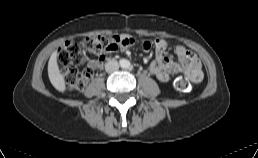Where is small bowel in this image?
I'll return each mask as SVG.
<instances>
[{"label": "small bowel", "mask_w": 258, "mask_h": 158, "mask_svg": "<svg viewBox=\"0 0 258 158\" xmlns=\"http://www.w3.org/2000/svg\"><path fill=\"white\" fill-rule=\"evenodd\" d=\"M124 36L133 38L130 35ZM141 47L146 53L155 51L156 58L149 64L148 71L160 82L167 83L170 81L171 75L178 73H185L193 82H200L202 80L203 71L199 59L184 46L177 45L175 47V53L179 58V62H175L165 55L168 42L164 39L145 41ZM126 49L127 46H121L119 50L125 51ZM106 59L107 55L99 57L90 61L89 66L92 69H100Z\"/></svg>", "instance_id": "c3829d8e"}]
</instances>
